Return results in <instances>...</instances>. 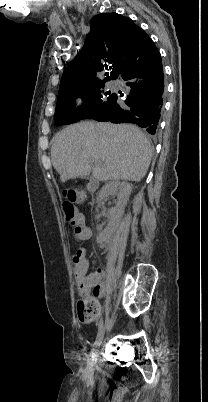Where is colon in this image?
Masks as SVG:
<instances>
[{"instance_id": "obj_1", "label": "colon", "mask_w": 208, "mask_h": 402, "mask_svg": "<svg viewBox=\"0 0 208 402\" xmlns=\"http://www.w3.org/2000/svg\"><path fill=\"white\" fill-rule=\"evenodd\" d=\"M64 196L68 197L69 193L64 192ZM64 215L67 223L73 227V230L70 233L72 241H79L82 238H88L89 231L88 229H82V217L73 204H64ZM85 254L86 249L80 248L78 253L74 252L70 257L73 263L81 264L85 260L83 257ZM93 284L94 279L88 278L87 282L80 283V288L78 289L77 304L80 306V312L78 315L82 314L83 319L94 317L101 313L100 300L93 299V295L95 294V287Z\"/></svg>"}]
</instances>
